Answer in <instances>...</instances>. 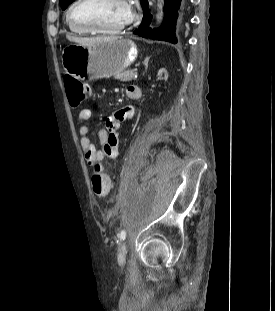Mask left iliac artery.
<instances>
[{"mask_svg": "<svg viewBox=\"0 0 275 311\" xmlns=\"http://www.w3.org/2000/svg\"><path fill=\"white\" fill-rule=\"evenodd\" d=\"M125 238H126V231L122 230L119 234V239H120V241H123V240H125Z\"/></svg>", "mask_w": 275, "mask_h": 311, "instance_id": "left-iliac-artery-1", "label": "left iliac artery"}]
</instances>
